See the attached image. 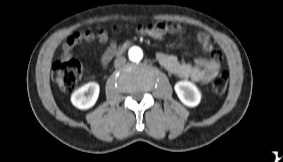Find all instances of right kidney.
<instances>
[{"instance_id":"1","label":"right kidney","mask_w":283,"mask_h":162,"mask_svg":"<svg viewBox=\"0 0 283 162\" xmlns=\"http://www.w3.org/2000/svg\"><path fill=\"white\" fill-rule=\"evenodd\" d=\"M99 91L98 83L89 82L73 92L71 102L75 107L81 110L89 109L96 103Z\"/></svg>"}]
</instances>
